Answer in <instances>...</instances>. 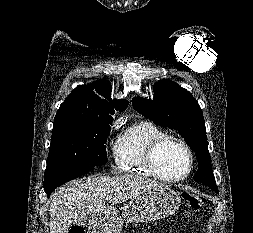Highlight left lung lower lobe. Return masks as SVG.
<instances>
[{
    "label": "left lung lower lobe",
    "mask_w": 253,
    "mask_h": 233,
    "mask_svg": "<svg viewBox=\"0 0 253 233\" xmlns=\"http://www.w3.org/2000/svg\"><path fill=\"white\" fill-rule=\"evenodd\" d=\"M211 189H213L215 192L218 193V188L217 187H210Z\"/></svg>",
    "instance_id": "1"
}]
</instances>
